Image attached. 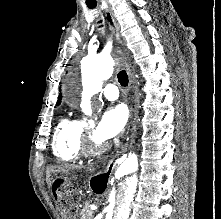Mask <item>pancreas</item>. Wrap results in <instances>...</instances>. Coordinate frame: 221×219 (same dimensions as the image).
<instances>
[{
    "label": "pancreas",
    "mask_w": 221,
    "mask_h": 219,
    "mask_svg": "<svg viewBox=\"0 0 221 219\" xmlns=\"http://www.w3.org/2000/svg\"><path fill=\"white\" fill-rule=\"evenodd\" d=\"M91 210L89 209L88 204H85V206L82 208L80 212L81 219H92Z\"/></svg>",
    "instance_id": "obj_1"
}]
</instances>
